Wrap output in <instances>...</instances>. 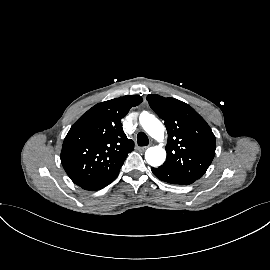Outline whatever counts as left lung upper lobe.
<instances>
[{
	"mask_svg": "<svg viewBox=\"0 0 270 270\" xmlns=\"http://www.w3.org/2000/svg\"><path fill=\"white\" fill-rule=\"evenodd\" d=\"M147 101L164 120L168 133L167 158L160 167L181 172L195 180L202 177L216 149V139L209 125L180 100L150 94Z\"/></svg>",
	"mask_w": 270,
	"mask_h": 270,
	"instance_id": "left-lung-upper-lobe-1",
	"label": "left lung upper lobe"
}]
</instances>
